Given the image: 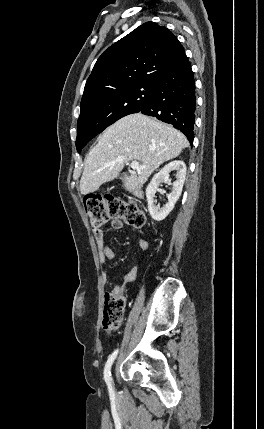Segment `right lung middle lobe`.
<instances>
[{
    "label": "right lung middle lobe",
    "mask_w": 264,
    "mask_h": 429,
    "mask_svg": "<svg viewBox=\"0 0 264 429\" xmlns=\"http://www.w3.org/2000/svg\"><path fill=\"white\" fill-rule=\"evenodd\" d=\"M155 84H136L91 100L80 106L76 148H82L118 119L139 112L153 93Z\"/></svg>",
    "instance_id": "obj_1"
}]
</instances>
